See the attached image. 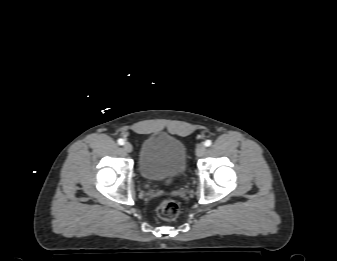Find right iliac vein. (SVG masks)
I'll return each mask as SVG.
<instances>
[{
    "mask_svg": "<svg viewBox=\"0 0 337 261\" xmlns=\"http://www.w3.org/2000/svg\"><path fill=\"white\" fill-rule=\"evenodd\" d=\"M123 149H124L125 152L130 153V152H132L133 147H132V145L129 142H126L123 145Z\"/></svg>",
    "mask_w": 337,
    "mask_h": 261,
    "instance_id": "right-iliac-vein-1",
    "label": "right iliac vein"
}]
</instances>
